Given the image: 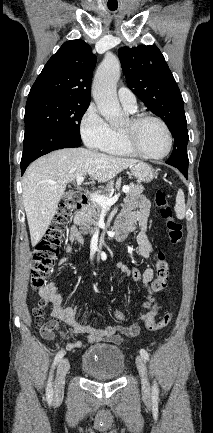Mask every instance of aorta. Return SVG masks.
I'll return each instance as SVG.
<instances>
[{
    "label": "aorta",
    "instance_id": "aorta-1",
    "mask_svg": "<svg viewBox=\"0 0 213 433\" xmlns=\"http://www.w3.org/2000/svg\"><path fill=\"white\" fill-rule=\"evenodd\" d=\"M120 70L118 58L107 54L97 69L92 88L93 98L101 115L115 127L124 119L116 92Z\"/></svg>",
    "mask_w": 213,
    "mask_h": 433
}]
</instances>
